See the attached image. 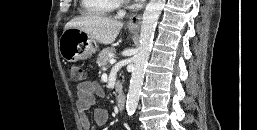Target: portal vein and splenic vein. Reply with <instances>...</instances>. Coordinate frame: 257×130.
I'll list each match as a JSON object with an SVG mask.
<instances>
[{
	"instance_id": "18ae733b",
	"label": "portal vein and splenic vein",
	"mask_w": 257,
	"mask_h": 130,
	"mask_svg": "<svg viewBox=\"0 0 257 130\" xmlns=\"http://www.w3.org/2000/svg\"><path fill=\"white\" fill-rule=\"evenodd\" d=\"M109 63H110V64H115V63H116V60L112 58V59L109 60Z\"/></svg>"
}]
</instances>
